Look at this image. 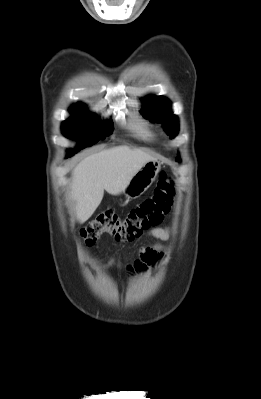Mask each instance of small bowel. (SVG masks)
<instances>
[{"label":"small bowel","instance_id":"c3829d8e","mask_svg":"<svg viewBox=\"0 0 261 399\" xmlns=\"http://www.w3.org/2000/svg\"><path fill=\"white\" fill-rule=\"evenodd\" d=\"M147 235L160 241H166L170 238L171 231L168 227H158L151 229ZM163 258L164 246L162 244L143 246L139 251L138 258L127 266L128 274L131 276L134 273H144L148 266L160 264ZM114 264L115 260L111 259L104 267H111Z\"/></svg>","mask_w":261,"mask_h":399}]
</instances>
